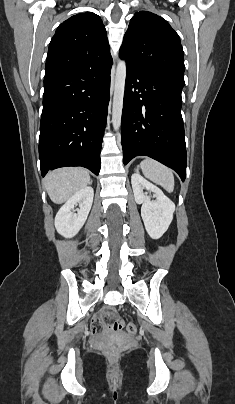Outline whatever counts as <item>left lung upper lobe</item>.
I'll return each mask as SVG.
<instances>
[{
  "instance_id": "left-lung-upper-lobe-1",
  "label": "left lung upper lobe",
  "mask_w": 235,
  "mask_h": 404,
  "mask_svg": "<svg viewBox=\"0 0 235 404\" xmlns=\"http://www.w3.org/2000/svg\"><path fill=\"white\" fill-rule=\"evenodd\" d=\"M119 56L148 74L184 86V53L180 38L162 17L135 13L124 35Z\"/></svg>"
}]
</instances>
